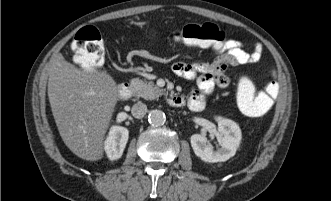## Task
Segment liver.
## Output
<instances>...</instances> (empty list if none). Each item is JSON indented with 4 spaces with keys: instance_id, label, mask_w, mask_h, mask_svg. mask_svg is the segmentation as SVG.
<instances>
[{
    "instance_id": "1",
    "label": "liver",
    "mask_w": 331,
    "mask_h": 201,
    "mask_svg": "<svg viewBox=\"0 0 331 201\" xmlns=\"http://www.w3.org/2000/svg\"><path fill=\"white\" fill-rule=\"evenodd\" d=\"M48 97L60 136L79 158L104 155V139L118 101L115 80L106 71L80 70L61 53L46 66Z\"/></svg>"
}]
</instances>
